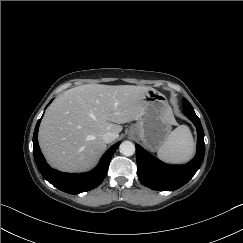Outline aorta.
<instances>
[{"label":"aorta","instance_id":"obj_1","mask_svg":"<svg viewBox=\"0 0 243 243\" xmlns=\"http://www.w3.org/2000/svg\"><path fill=\"white\" fill-rule=\"evenodd\" d=\"M120 153L125 156H132L135 153V145L130 141H124L119 146Z\"/></svg>","mask_w":243,"mask_h":243}]
</instances>
